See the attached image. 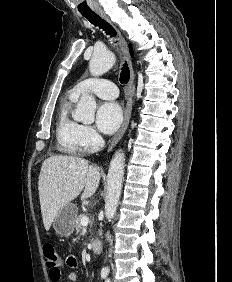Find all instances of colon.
Here are the masks:
<instances>
[{
  "label": "colon",
  "instance_id": "1",
  "mask_svg": "<svg viewBox=\"0 0 232 282\" xmlns=\"http://www.w3.org/2000/svg\"><path fill=\"white\" fill-rule=\"evenodd\" d=\"M43 252L49 271L57 273L60 266V258L55 247L50 243H46L43 246Z\"/></svg>",
  "mask_w": 232,
  "mask_h": 282
}]
</instances>
